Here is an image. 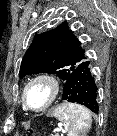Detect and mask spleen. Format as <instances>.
<instances>
[{"label": "spleen", "instance_id": "1", "mask_svg": "<svg viewBox=\"0 0 117 136\" xmlns=\"http://www.w3.org/2000/svg\"><path fill=\"white\" fill-rule=\"evenodd\" d=\"M51 115L69 128L68 136L86 133L92 123L89 110L76 103H63L57 106Z\"/></svg>", "mask_w": 117, "mask_h": 136}]
</instances>
